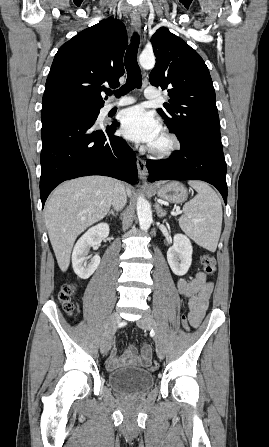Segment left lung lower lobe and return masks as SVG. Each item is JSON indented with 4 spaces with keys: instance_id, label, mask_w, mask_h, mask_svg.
Listing matches in <instances>:
<instances>
[{
    "instance_id": "obj_1",
    "label": "left lung lower lobe",
    "mask_w": 269,
    "mask_h": 447,
    "mask_svg": "<svg viewBox=\"0 0 269 447\" xmlns=\"http://www.w3.org/2000/svg\"><path fill=\"white\" fill-rule=\"evenodd\" d=\"M150 182L157 180H202L215 186L227 204V166L221 141L200 138L182 146L168 159L148 160Z\"/></svg>"
}]
</instances>
